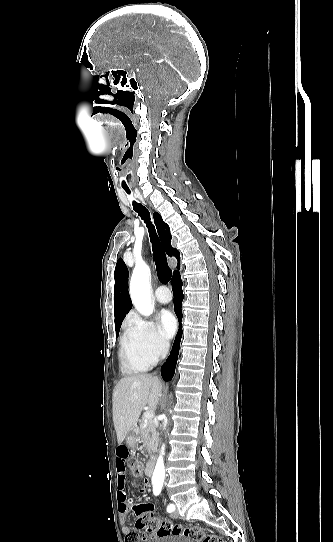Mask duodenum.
<instances>
[{"label":"duodenum","instance_id":"1","mask_svg":"<svg viewBox=\"0 0 333 542\" xmlns=\"http://www.w3.org/2000/svg\"><path fill=\"white\" fill-rule=\"evenodd\" d=\"M153 470H154V462L152 460H149L147 463H146V467H145V473L148 477H151L153 475Z\"/></svg>","mask_w":333,"mask_h":542}]
</instances>
